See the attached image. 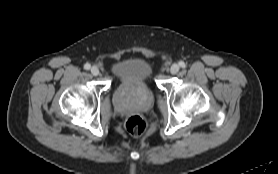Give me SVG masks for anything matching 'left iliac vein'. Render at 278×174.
Segmentation results:
<instances>
[{
  "instance_id": "1",
  "label": "left iliac vein",
  "mask_w": 278,
  "mask_h": 174,
  "mask_svg": "<svg viewBox=\"0 0 278 174\" xmlns=\"http://www.w3.org/2000/svg\"><path fill=\"white\" fill-rule=\"evenodd\" d=\"M179 69H180L179 65L174 63V64H172V66L170 68V72L172 74H176V73H178Z\"/></svg>"
}]
</instances>
